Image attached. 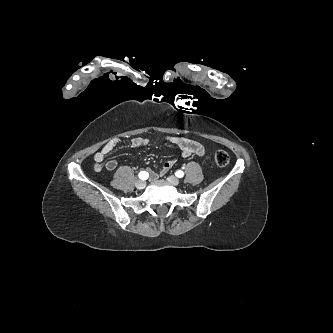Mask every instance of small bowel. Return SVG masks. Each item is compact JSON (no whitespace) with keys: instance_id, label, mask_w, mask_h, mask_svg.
Returning a JSON list of instances; mask_svg holds the SVG:
<instances>
[{"instance_id":"obj_1","label":"small bowel","mask_w":333,"mask_h":333,"mask_svg":"<svg viewBox=\"0 0 333 333\" xmlns=\"http://www.w3.org/2000/svg\"><path fill=\"white\" fill-rule=\"evenodd\" d=\"M165 141L168 143L176 146L181 154L184 157H188L190 155H196L199 157H202L204 155V147L193 140H190L188 138L184 137H166ZM119 140L118 139H112L109 142H107L100 151H98L94 155V163H93V169L96 172L102 171L103 167L109 171H113L117 168V161L114 159L107 160L104 165V161L106 156L111 153L116 146L118 145ZM149 143V140L144 137H135L131 140V145L134 148L145 146ZM176 163L175 159L168 160L162 164V166L157 170H151L150 175L152 179H156L161 175H164L166 172H168Z\"/></svg>"}]
</instances>
